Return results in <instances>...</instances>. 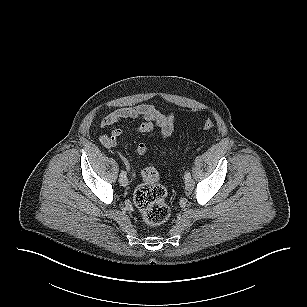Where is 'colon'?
<instances>
[{"label":"colon","instance_id":"obj_1","mask_svg":"<svg viewBox=\"0 0 307 307\" xmlns=\"http://www.w3.org/2000/svg\"><path fill=\"white\" fill-rule=\"evenodd\" d=\"M214 127V122L207 119L203 129L209 131ZM143 182L136 188L134 203L140 211L143 221L151 226L165 223L171 214V209L166 202V189L160 183V175L156 168L149 166L142 171Z\"/></svg>","mask_w":307,"mask_h":307}]
</instances>
